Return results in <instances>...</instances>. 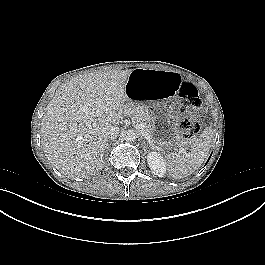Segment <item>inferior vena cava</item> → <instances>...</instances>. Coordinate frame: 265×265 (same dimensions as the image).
<instances>
[{
  "mask_svg": "<svg viewBox=\"0 0 265 265\" xmlns=\"http://www.w3.org/2000/svg\"><path fill=\"white\" fill-rule=\"evenodd\" d=\"M119 134V128L117 126H106L101 130V137L104 140L114 139Z\"/></svg>",
  "mask_w": 265,
  "mask_h": 265,
  "instance_id": "602c4592",
  "label": "inferior vena cava"
}]
</instances>
